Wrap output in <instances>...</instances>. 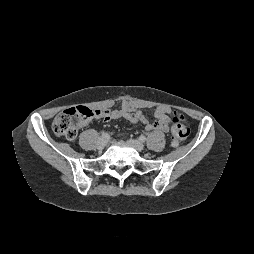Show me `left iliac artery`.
I'll use <instances>...</instances> for the list:
<instances>
[{
    "label": "left iliac artery",
    "instance_id": "44dca946",
    "mask_svg": "<svg viewBox=\"0 0 254 254\" xmlns=\"http://www.w3.org/2000/svg\"><path fill=\"white\" fill-rule=\"evenodd\" d=\"M139 140H140L141 142H145V141H146V137H145L144 135H141V136L139 137Z\"/></svg>",
    "mask_w": 254,
    "mask_h": 254
}]
</instances>
